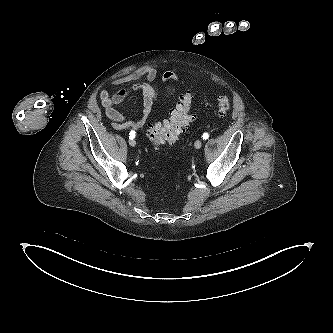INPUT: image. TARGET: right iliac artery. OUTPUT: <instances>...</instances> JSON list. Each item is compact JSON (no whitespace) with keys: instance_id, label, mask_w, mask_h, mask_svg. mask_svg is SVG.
Listing matches in <instances>:
<instances>
[{"instance_id":"1","label":"right iliac artery","mask_w":333,"mask_h":333,"mask_svg":"<svg viewBox=\"0 0 333 333\" xmlns=\"http://www.w3.org/2000/svg\"><path fill=\"white\" fill-rule=\"evenodd\" d=\"M133 138H135V132H134V131H131V132L129 133V139H133Z\"/></svg>"}]
</instances>
